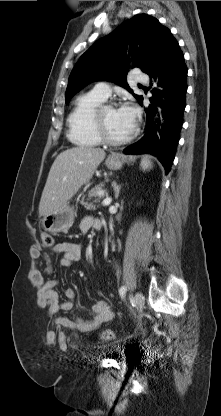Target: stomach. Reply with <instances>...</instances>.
Here are the masks:
<instances>
[{
  "mask_svg": "<svg viewBox=\"0 0 221 416\" xmlns=\"http://www.w3.org/2000/svg\"><path fill=\"white\" fill-rule=\"evenodd\" d=\"M131 160V159H129ZM124 159L122 156L113 154L109 156L105 161V164L110 170H118L122 167ZM75 218V212L72 207L66 205L57 211L44 216L42 225L45 231L52 234L64 232L66 233L69 228L73 225Z\"/></svg>",
  "mask_w": 221,
  "mask_h": 416,
  "instance_id": "stomach-1",
  "label": "stomach"
}]
</instances>
